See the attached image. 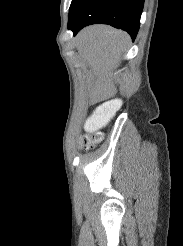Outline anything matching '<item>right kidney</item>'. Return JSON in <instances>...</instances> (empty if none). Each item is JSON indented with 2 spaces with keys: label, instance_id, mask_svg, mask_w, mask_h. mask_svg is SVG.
<instances>
[{
  "label": "right kidney",
  "instance_id": "1",
  "mask_svg": "<svg viewBox=\"0 0 183 246\" xmlns=\"http://www.w3.org/2000/svg\"><path fill=\"white\" fill-rule=\"evenodd\" d=\"M122 101L119 99L111 100L100 105L86 121L84 128L87 132H95L106 126L121 108Z\"/></svg>",
  "mask_w": 183,
  "mask_h": 246
}]
</instances>
